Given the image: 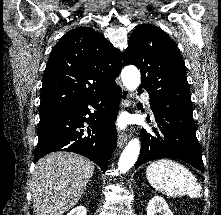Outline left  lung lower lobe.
<instances>
[{
  "instance_id": "obj_1",
  "label": "left lung lower lobe",
  "mask_w": 221,
  "mask_h": 215,
  "mask_svg": "<svg viewBox=\"0 0 221 215\" xmlns=\"http://www.w3.org/2000/svg\"><path fill=\"white\" fill-rule=\"evenodd\" d=\"M139 92H142L139 89ZM157 127L155 135L142 131V146L135 167L156 159L176 158L204 171L201 147L196 138L192 109L150 99Z\"/></svg>"
}]
</instances>
